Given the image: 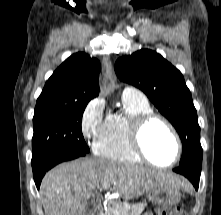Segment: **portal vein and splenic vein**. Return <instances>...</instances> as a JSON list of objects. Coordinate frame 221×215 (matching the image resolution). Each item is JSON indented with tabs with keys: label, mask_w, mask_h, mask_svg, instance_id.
<instances>
[{
	"label": "portal vein and splenic vein",
	"mask_w": 221,
	"mask_h": 215,
	"mask_svg": "<svg viewBox=\"0 0 221 215\" xmlns=\"http://www.w3.org/2000/svg\"><path fill=\"white\" fill-rule=\"evenodd\" d=\"M109 186H110V185H105V187H103V188L105 189V188H107V187H109Z\"/></svg>",
	"instance_id": "portal-vein-and-splenic-vein-1"
}]
</instances>
